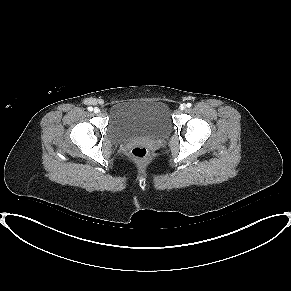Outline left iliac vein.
Listing matches in <instances>:
<instances>
[{
	"label": "left iliac vein",
	"mask_w": 291,
	"mask_h": 291,
	"mask_svg": "<svg viewBox=\"0 0 291 291\" xmlns=\"http://www.w3.org/2000/svg\"><path fill=\"white\" fill-rule=\"evenodd\" d=\"M179 108H180V110H184L186 108V105L185 104H181Z\"/></svg>",
	"instance_id": "left-iliac-vein-1"
}]
</instances>
